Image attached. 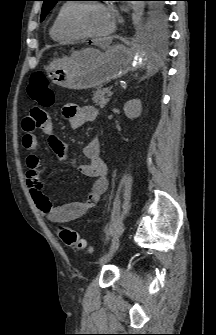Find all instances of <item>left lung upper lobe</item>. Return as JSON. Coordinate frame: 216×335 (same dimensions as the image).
<instances>
[{"label": "left lung upper lobe", "mask_w": 216, "mask_h": 335, "mask_svg": "<svg viewBox=\"0 0 216 335\" xmlns=\"http://www.w3.org/2000/svg\"><path fill=\"white\" fill-rule=\"evenodd\" d=\"M43 7L41 11V19L43 21L49 11L60 0H42ZM147 1L145 7V24L147 29L158 36L166 34L167 16L164 10L162 1L164 0H145Z\"/></svg>", "instance_id": "obj_1"}]
</instances>
